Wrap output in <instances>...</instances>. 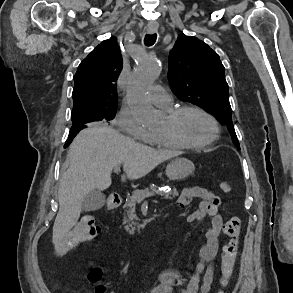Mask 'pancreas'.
Segmentation results:
<instances>
[{
  "instance_id": "pancreas-1",
  "label": "pancreas",
  "mask_w": 293,
  "mask_h": 293,
  "mask_svg": "<svg viewBox=\"0 0 293 293\" xmlns=\"http://www.w3.org/2000/svg\"><path fill=\"white\" fill-rule=\"evenodd\" d=\"M154 193L155 189L154 188H145V189H137L132 192V195L128 197V201L126 203V212L128 215V219L124 218L123 224H128L125 226V229L128 231L129 234H134V226L137 225L135 221L139 220L138 217L135 214V207L136 203L138 201V196L141 194H146V193ZM162 196L164 199H172L176 196H178V192L176 188H173L171 191L168 192H162L159 194Z\"/></svg>"
}]
</instances>
